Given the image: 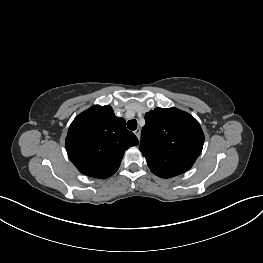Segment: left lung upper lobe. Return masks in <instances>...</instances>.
<instances>
[{
  "mask_svg": "<svg viewBox=\"0 0 263 263\" xmlns=\"http://www.w3.org/2000/svg\"><path fill=\"white\" fill-rule=\"evenodd\" d=\"M140 151L152 173L170 178L186 172L200 155L204 134L190 114L176 108H155L145 114Z\"/></svg>",
  "mask_w": 263,
  "mask_h": 263,
  "instance_id": "obj_1",
  "label": "left lung upper lobe"
}]
</instances>
